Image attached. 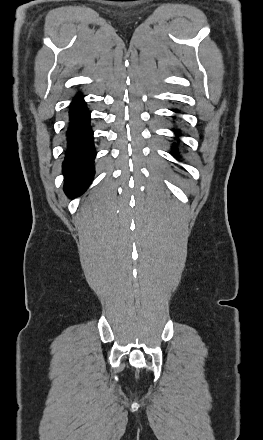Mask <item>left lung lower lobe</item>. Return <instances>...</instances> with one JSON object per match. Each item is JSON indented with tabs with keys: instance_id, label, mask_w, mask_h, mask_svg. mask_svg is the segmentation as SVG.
<instances>
[{
	"instance_id": "0a47b994",
	"label": "left lung lower lobe",
	"mask_w": 263,
	"mask_h": 440,
	"mask_svg": "<svg viewBox=\"0 0 263 440\" xmlns=\"http://www.w3.org/2000/svg\"><path fill=\"white\" fill-rule=\"evenodd\" d=\"M176 134L179 135V132L177 131Z\"/></svg>"
}]
</instances>
